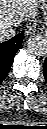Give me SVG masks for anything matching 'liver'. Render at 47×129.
Instances as JSON below:
<instances>
[{"label":"liver","instance_id":"6515ba94","mask_svg":"<svg viewBox=\"0 0 47 129\" xmlns=\"http://www.w3.org/2000/svg\"><path fill=\"white\" fill-rule=\"evenodd\" d=\"M42 0H0L1 26H17L24 18L36 14Z\"/></svg>","mask_w":47,"mask_h":129}]
</instances>
